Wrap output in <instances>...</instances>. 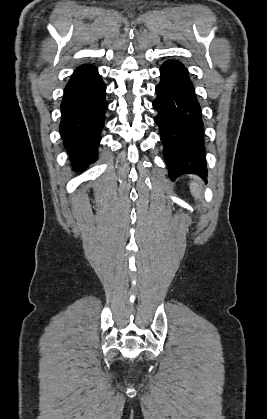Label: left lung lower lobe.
Returning a JSON list of instances; mask_svg holds the SVG:
<instances>
[{
    "label": "left lung lower lobe",
    "mask_w": 267,
    "mask_h": 419,
    "mask_svg": "<svg viewBox=\"0 0 267 419\" xmlns=\"http://www.w3.org/2000/svg\"><path fill=\"white\" fill-rule=\"evenodd\" d=\"M160 73L153 107L158 112L155 122L164 144L169 176L175 179L193 173L205 179L204 127L188 71L179 61L168 60Z\"/></svg>",
    "instance_id": "0a47b994"
}]
</instances>
